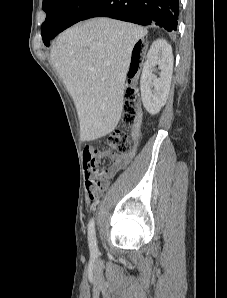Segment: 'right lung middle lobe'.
Listing matches in <instances>:
<instances>
[{
  "label": "right lung middle lobe",
  "mask_w": 227,
  "mask_h": 298,
  "mask_svg": "<svg viewBox=\"0 0 227 298\" xmlns=\"http://www.w3.org/2000/svg\"><path fill=\"white\" fill-rule=\"evenodd\" d=\"M100 0H43L46 20L42 24V38L46 46L56 32L79 22Z\"/></svg>",
  "instance_id": "dd1d6c3e"
}]
</instances>
